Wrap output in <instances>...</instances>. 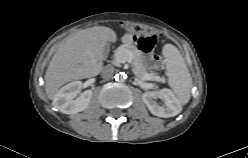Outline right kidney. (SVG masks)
Returning <instances> with one entry per match:
<instances>
[{"instance_id": "1", "label": "right kidney", "mask_w": 248, "mask_h": 158, "mask_svg": "<svg viewBox=\"0 0 248 158\" xmlns=\"http://www.w3.org/2000/svg\"><path fill=\"white\" fill-rule=\"evenodd\" d=\"M81 88V81H74L62 87L54 99L56 108L65 114H76L85 110L90 103L92 91L86 90L77 97Z\"/></svg>"}]
</instances>
